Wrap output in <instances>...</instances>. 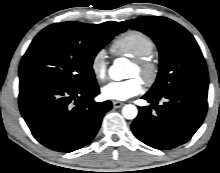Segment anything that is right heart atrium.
I'll use <instances>...</instances> for the list:
<instances>
[{"label": "right heart atrium", "instance_id": "d8ad5b80", "mask_svg": "<svg viewBox=\"0 0 220 173\" xmlns=\"http://www.w3.org/2000/svg\"><path fill=\"white\" fill-rule=\"evenodd\" d=\"M91 71L97 81L103 82L107 79L108 62L104 50H98L91 59Z\"/></svg>", "mask_w": 220, "mask_h": 173}]
</instances>
